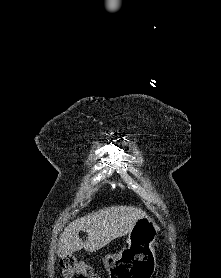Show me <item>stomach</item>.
Masks as SVG:
<instances>
[{"instance_id":"stomach-1","label":"stomach","mask_w":221,"mask_h":278,"mask_svg":"<svg viewBox=\"0 0 221 278\" xmlns=\"http://www.w3.org/2000/svg\"><path fill=\"white\" fill-rule=\"evenodd\" d=\"M158 230L148 216L137 220L128 235V251L104 259L110 278H150L154 275L156 257L153 245Z\"/></svg>"}]
</instances>
